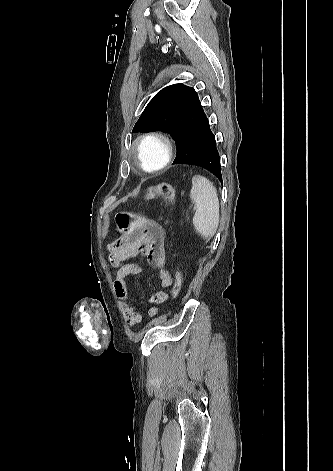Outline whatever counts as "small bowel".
Returning a JSON list of instances; mask_svg holds the SVG:
<instances>
[{"label": "small bowel", "mask_w": 333, "mask_h": 471, "mask_svg": "<svg viewBox=\"0 0 333 471\" xmlns=\"http://www.w3.org/2000/svg\"><path fill=\"white\" fill-rule=\"evenodd\" d=\"M116 223L121 230V236L108 246L109 263L117 268L116 278L113 282V290L117 304L125 322L130 326H136L145 319L144 315L135 309L129 294L125 278L130 275H138L142 267L127 261L138 255H143L147 263L158 270L160 283L163 288L173 284V279L165 269V231L156 221L143 216L119 213L116 215ZM168 300V294L164 290L155 292L150 302L154 305L147 315H158V305Z\"/></svg>", "instance_id": "c3829d8e"}]
</instances>
